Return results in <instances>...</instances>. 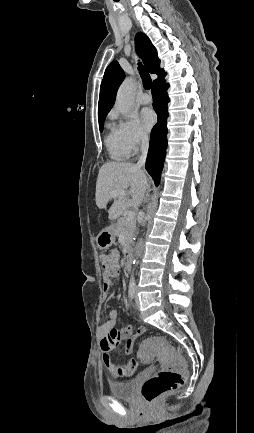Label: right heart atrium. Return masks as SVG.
Instances as JSON below:
<instances>
[{
  "label": "right heart atrium",
  "instance_id": "1",
  "mask_svg": "<svg viewBox=\"0 0 254 433\" xmlns=\"http://www.w3.org/2000/svg\"><path fill=\"white\" fill-rule=\"evenodd\" d=\"M116 129L128 155L136 154L148 142L146 131L133 114L120 117Z\"/></svg>",
  "mask_w": 254,
  "mask_h": 433
}]
</instances>
